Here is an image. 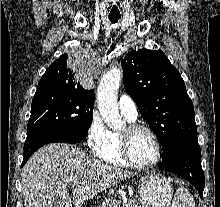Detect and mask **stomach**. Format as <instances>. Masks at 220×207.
I'll use <instances>...</instances> for the list:
<instances>
[{"label":"stomach","mask_w":220,"mask_h":207,"mask_svg":"<svg viewBox=\"0 0 220 207\" xmlns=\"http://www.w3.org/2000/svg\"><path fill=\"white\" fill-rule=\"evenodd\" d=\"M138 186L139 201L143 207H168L172 199V186L161 175L149 173L141 177Z\"/></svg>","instance_id":"stomach-1"}]
</instances>
